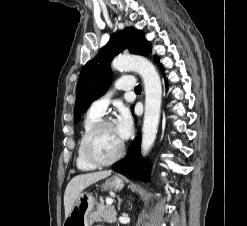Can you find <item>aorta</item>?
<instances>
[{
    "instance_id": "obj_1",
    "label": "aorta",
    "mask_w": 247,
    "mask_h": 226,
    "mask_svg": "<svg viewBox=\"0 0 247 226\" xmlns=\"http://www.w3.org/2000/svg\"><path fill=\"white\" fill-rule=\"evenodd\" d=\"M118 70L136 71L143 79L145 90V113L142 128L141 153L148 155L156 139L162 99V85L154 65L144 57L136 55L118 56L112 62Z\"/></svg>"
}]
</instances>
